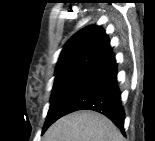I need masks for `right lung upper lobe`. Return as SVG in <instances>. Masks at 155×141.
Here are the masks:
<instances>
[{
    "mask_svg": "<svg viewBox=\"0 0 155 141\" xmlns=\"http://www.w3.org/2000/svg\"><path fill=\"white\" fill-rule=\"evenodd\" d=\"M112 54L110 41L100 26H88L65 44L55 74L76 69L97 70Z\"/></svg>",
    "mask_w": 155,
    "mask_h": 141,
    "instance_id": "obj_1",
    "label": "right lung upper lobe"
}]
</instances>
